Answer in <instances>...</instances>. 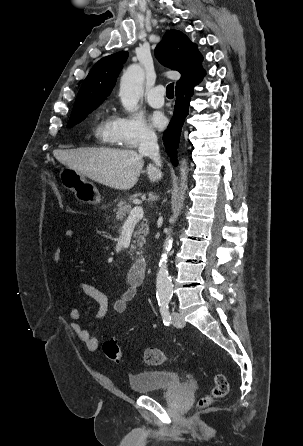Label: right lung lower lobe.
Here are the masks:
<instances>
[{"label":"right lung lower lobe","instance_id":"right-lung-lower-lobe-1","mask_svg":"<svg viewBox=\"0 0 303 446\" xmlns=\"http://www.w3.org/2000/svg\"><path fill=\"white\" fill-rule=\"evenodd\" d=\"M202 81V76L190 83L176 88V104L174 115L168 129L163 135L164 145L172 163L176 166V148L179 143L180 131L184 119L188 115L189 102L193 95V87Z\"/></svg>","mask_w":303,"mask_h":446}]
</instances>
